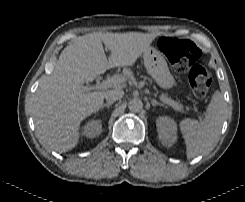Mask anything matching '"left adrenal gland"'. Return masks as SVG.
I'll return each mask as SVG.
<instances>
[{"instance_id":"a2214340","label":"left adrenal gland","mask_w":245,"mask_h":202,"mask_svg":"<svg viewBox=\"0 0 245 202\" xmlns=\"http://www.w3.org/2000/svg\"><path fill=\"white\" fill-rule=\"evenodd\" d=\"M151 103H152V106H165L163 103H160V102H157L156 100L154 99H151ZM166 107V106H165Z\"/></svg>"}]
</instances>
